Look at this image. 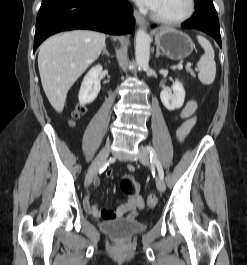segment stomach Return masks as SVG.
I'll list each match as a JSON object with an SVG mask.
<instances>
[{
    "label": "stomach",
    "mask_w": 247,
    "mask_h": 265,
    "mask_svg": "<svg viewBox=\"0 0 247 265\" xmlns=\"http://www.w3.org/2000/svg\"><path fill=\"white\" fill-rule=\"evenodd\" d=\"M155 43L157 48L172 60H182L188 57L194 49L192 39L174 28H161L156 31Z\"/></svg>",
    "instance_id": "0dacf381"
}]
</instances>
